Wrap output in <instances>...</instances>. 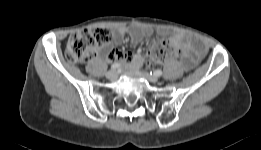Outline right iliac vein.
<instances>
[{
  "label": "right iliac vein",
  "mask_w": 261,
  "mask_h": 150,
  "mask_svg": "<svg viewBox=\"0 0 261 150\" xmlns=\"http://www.w3.org/2000/svg\"><path fill=\"white\" fill-rule=\"evenodd\" d=\"M108 79L114 80L117 78V72L115 70H110L106 73Z\"/></svg>",
  "instance_id": "obj_1"
}]
</instances>
